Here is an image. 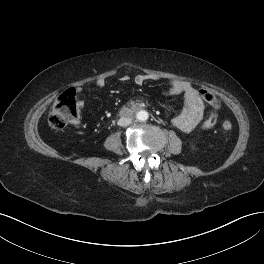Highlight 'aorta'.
<instances>
[{"label": "aorta", "instance_id": "762f6f07", "mask_svg": "<svg viewBox=\"0 0 264 264\" xmlns=\"http://www.w3.org/2000/svg\"><path fill=\"white\" fill-rule=\"evenodd\" d=\"M149 118V114L146 110H140L136 113V119L140 122H144Z\"/></svg>", "mask_w": 264, "mask_h": 264}]
</instances>
